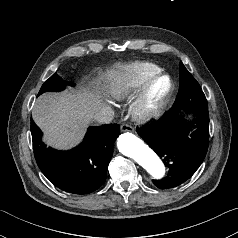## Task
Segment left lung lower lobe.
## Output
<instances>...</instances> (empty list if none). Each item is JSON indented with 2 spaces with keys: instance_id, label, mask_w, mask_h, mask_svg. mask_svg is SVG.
Here are the masks:
<instances>
[{
  "instance_id": "obj_1",
  "label": "left lung lower lobe",
  "mask_w": 238,
  "mask_h": 238,
  "mask_svg": "<svg viewBox=\"0 0 238 238\" xmlns=\"http://www.w3.org/2000/svg\"><path fill=\"white\" fill-rule=\"evenodd\" d=\"M182 107L195 114L196 118L190 123L185 124L177 118L176 112ZM137 132L168 168L167 176L153 180V183L161 189L176 187L197 171L207 153L208 106L175 103L162 117L137 128Z\"/></svg>"
}]
</instances>
